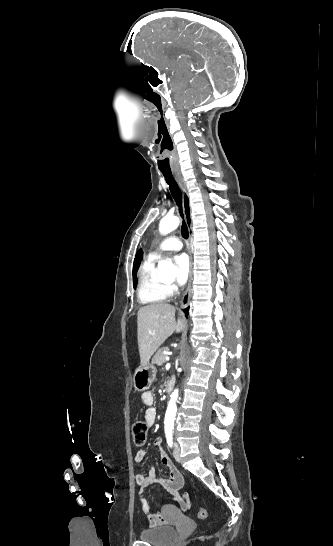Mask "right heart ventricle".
I'll use <instances>...</instances> for the list:
<instances>
[{
    "label": "right heart ventricle",
    "instance_id": "e07e8e85",
    "mask_svg": "<svg viewBox=\"0 0 333 546\" xmlns=\"http://www.w3.org/2000/svg\"><path fill=\"white\" fill-rule=\"evenodd\" d=\"M155 260L148 258L140 267L138 277V298L143 305H154L167 300L166 286L154 274Z\"/></svg>",
    "mask_w": 333,
    "mask_h": 546
}]
</instances>
